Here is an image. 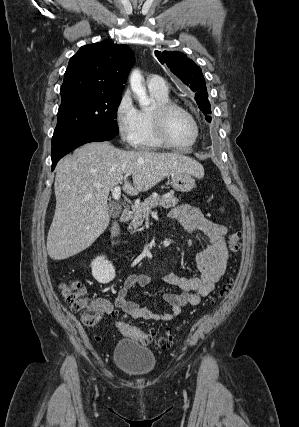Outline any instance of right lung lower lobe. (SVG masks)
Here are the masks:
<instances>
[{"label":"right lung lower lobe","mask_w":299,"mask_h":427,"mask_svg":"<svg viewBox=\"0 0 299 427\" xmlns=\"http://www.w3.org/2000/svg\"><path fill=\"white\" fill-rule=\"evenodd\" d=\"M114 135H75L64 138L52 144L51 158H52V171L54 170L57 162L73 149L89 142H101L112 139Z\"/></svg>","instance_id":"1"}]
</instances>
